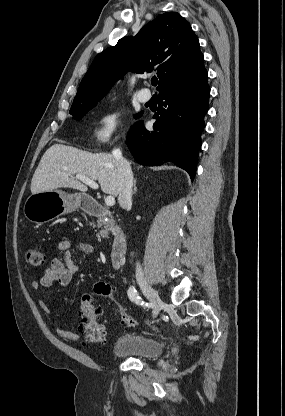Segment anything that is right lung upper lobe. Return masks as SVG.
<instances>
[{"label": "right lung upper lobe", "instance_id": "1", "mask_svg": "<svg viewBox=\"0 0 285 416\" xmlns=\"http://www.w3.org/2000/svg\"><path fill=\"white\" fill-rule=\"evenodd\" d=\"M129 69L136 73H156L159 93L207 72L198 38L190 24L176 12L164 13L145 25L135 37H124L95 57L71 109L96 102Z\"/></svg>", "mask_w": 285, "mask_h": 416}]
</instances>
